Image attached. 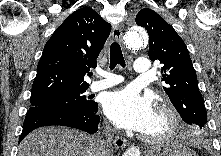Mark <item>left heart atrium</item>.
<instances>
[{"label":"left heart atrium","mask_w":221,"mask_h":156,"mask_svg":"<svg viewBox=\"0 0 221 156\" xmlns=\"http://www.w3.org/2000/svg\"><path fill=\"white\" fill-rule=\"evenodd\" d=\"M103 109L116 125L137 132H145L156 113L151 98L134 87L107 94Z\"/></svg>","instance_id":"obj_1"}]
</instances>
